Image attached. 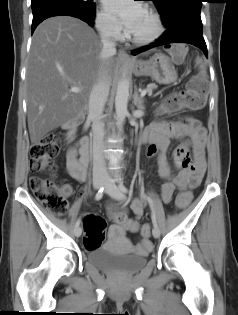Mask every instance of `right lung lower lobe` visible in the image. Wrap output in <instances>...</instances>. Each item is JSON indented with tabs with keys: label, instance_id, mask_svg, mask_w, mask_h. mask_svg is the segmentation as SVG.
I'll list each match as a JSON object with an SVG mask.
<instances>
[{
	"label": "right lung lower lobe",
	"instance_id": "98d812e1",
	"mask_svg": "<svg viewBox=\"0 0 238 315\" xmlns=\"http://www.w3.org/2000/svg\"><path fill=\"white\" fill-rule=\"evenodd\" d=\"M33 21L32 33L45 19L53 16L67 15L79 18L89 25H93L95 9H86L63 0H39L31 2Z\"/></svg>",
	"mask_w": 238,
	"mask_h": 315
}]
</instances>
